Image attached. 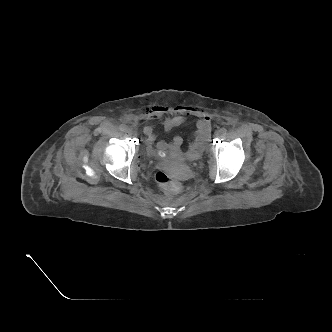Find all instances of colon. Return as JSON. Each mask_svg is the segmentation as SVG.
<instances>
[{"instance_id": "5ec220e1", "label": "colon", "mask_w": 332, "mask_h": 332, "mask_svg": "<svg viewBox=\"0 0 332 332\" xmlns=\"http://www.w3.org/2000/svg\"><path fill=\"white\" fill-rule=\"evenodd\" d=\"M158 185L168 193H176L180 191L182 184L164 171H159L155 175Z\"/></svg>"}]
</instances>
